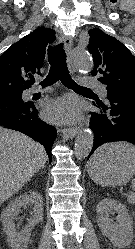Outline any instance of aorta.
I'll list each match as a JSON object with an SVG mask.
<instances>
[{"instance_id":"1","label":"aorta","mask_w":135,"mask_h":249,"mask_svg":"<svg viewBox=\"0 0 135 249\" xmlns=\"http://www.w3.org/2000/svg\"><path fill=\"white\" fill-rule=\"evenodd\" d=\"M74 66L79 70L88 72L92 67L91 57L84 48H75L71 52ZM94 134L89 128L83 129L75 140L74 153L79 160L86 158L92 150Z\"/></svg>"}]
</instances>
